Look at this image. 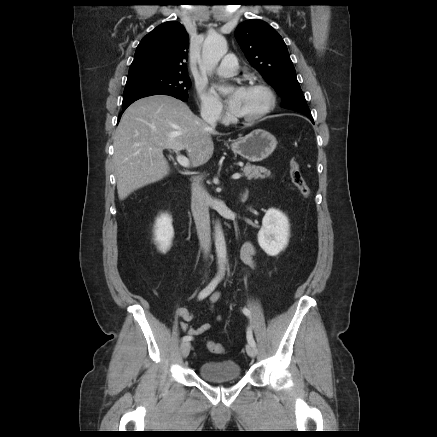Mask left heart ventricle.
<instances>
[{"instance_id":"b2bd125f","label":"left heart ventricle","mask_w":437,"mask_h":437,"mask_svg":"<svg viewBox=\"0 0 437 437\" xmlns=\"http://www.w3.org/2000/svg\"><path fill=\"white\" fill-rule=\"evenodd\" d=\"M265 104L266 95L261 90L245 88L235 115L240 117L255 115Z\"/></svg>"}]
</instances>
